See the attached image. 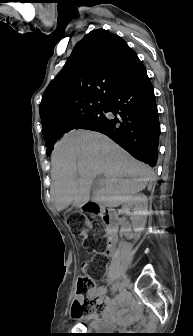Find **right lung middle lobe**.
Here are the masks:
<instances>
[{
    "label": "right lung middle lobe",
    "instance_id": "1",
    "mask_svg": "<svg viewBox=\"0 0 193 336\" xmlns=\"http://www.w3.org/2000/svg\"><path fill=\"white\" fill-rule=\"evenodd\" d=\"M102 111H105V108L97 109L93 112L86 114L85 116L78 119L74 125L71 127V130L74 129H87L97 131L104 127L107 118L102 114ZM61 136L52 137L45 141L46 146L48 147L47 155H50L53 150L54 144L59 140Z\"/></svg>",
    "mask_w": 193,
    "mask_h": 336
}]
</instances>
